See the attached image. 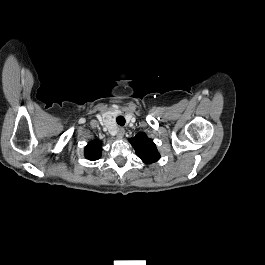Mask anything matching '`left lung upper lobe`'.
<instances>
[{"label":"left lung upper lobe","instance_id":"1","mask_svg":"<svg viewBox=\"0 0 265 265\" xmlns=\"http://www.w3.org/2000/svg\"><path fill=\"white\" fill-rule=\"evenodd\" d=\"M138 157L145 163L150 164L160 159L153 140L143 132H139L134 138L129 139Z\"/></svg>","mask_w":265,"mask_h":265}]
</instances>
